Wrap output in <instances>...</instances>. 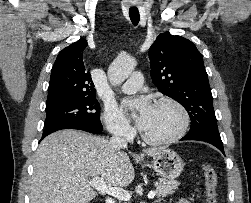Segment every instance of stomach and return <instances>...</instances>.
<instances>
[{
    "mask_svg": "<svg viewBox=\"0 0 251 203\" xmlns=\"http://www.w3.org/2000/svg\"><path fill=\"white\" fill-rule=\"evenodd\" d=\"M182 158L171 149H163L150 162V167L163 178L175 179L184 168Z\"/></svg>",
    "mask_w": 251,
    "mask_h": 203,
    "instance_id": "0dacf381",
    "label": "stomach"
}]
</instances>
